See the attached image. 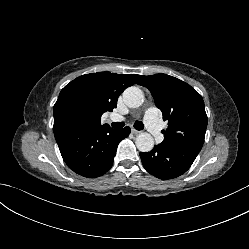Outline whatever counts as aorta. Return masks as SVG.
<instances>
[{
  "label": "aorta",
  "mask_w": 249,
  "mask_h": 249,
  "mask_svg": "<svg viewBox=\"0 0 249 249\" xmlns=\"http://www.w3.org/2000/svg\"><path fill=\"white\" fill-rule=\"evenodd\" d=\"M123 99L128 107L137 108L143 103L144 94L140 88L131 86L123 92ZM135 144L139 151L149 152L154 147V139L149 133L143 132L136 137Z\"/></svg>",
  "instance_id": "obj_1"
}]
</instances>
